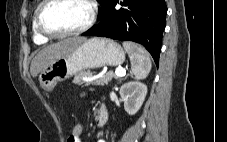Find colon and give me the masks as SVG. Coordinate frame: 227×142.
I'll use <instances>...</instances> for the list:
<instances>
[{"label": "colon", "instance_id": "5ec220e1", "mask_svg": "<svg viewBox=\"0 0 227 142\" xmlns=\"http://www.w3.org/2000/svg\"><path fill=\"white\" fill-rule=\"evenodd\" d=\"M82 134H83V125L81 122L77 121L73 125L70 136L77 140V139H81Z\"/></svg>", "mask_w": 227, "mask_h": 142}]
</instances>
